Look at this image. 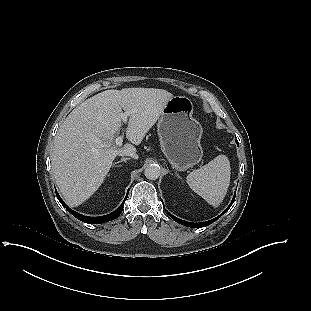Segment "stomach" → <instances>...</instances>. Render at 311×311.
Wrapping results in <instances>:
<instances>
[{"label":"stomach","instance_id":"obj_1","mask_svg":"<svg viewBox=\"0 0 311 311\" xmlns=\"http://www.w3.org/2000/svg\"><path fill=\"white\" fill-rule=\"evenodd\" d=\"M157 132L161 150L174 169L185 171L201 161L202 127L193 118V103L188 97L174 96L166 103Z\"/></svg>","mask_w":311,"mask_h":311}]
</instances>
